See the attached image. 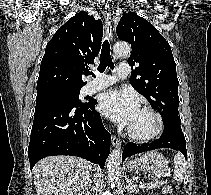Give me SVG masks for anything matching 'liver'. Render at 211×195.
<instances>
[{
	"instance_id": "1",
	"label": "liver",
	"mask_w": 211,
	"mask_h": 195,
	"mask_svg": "<svg viewBox=\"0 0 211 195\" xmlns=\"http://www.w3.org/2000/svg\"><path fill=\"white\" fill-rule=\"evenodd\" d=\"M91 164L75 156H48L33 168L37 195H84Z\"/></svg>"
}]
</instances>
